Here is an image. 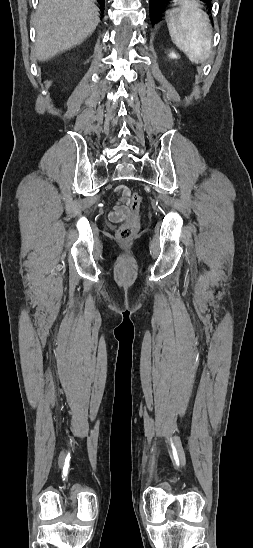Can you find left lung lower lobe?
Masks as SVG:
<instances>
[{
    "label": "left lung lower lobe",
    "mask_w": 253,
    "mask_h": 548,
    "mask_svg": "<svg viewBox=\"0 0 253 548\" xmlns=\"http://www.w3.org/2000/svg\"><path fill=\"white\" fill-rule=\"evenodd\" d=\"M171 0H150V15L151 19L154 22L158 14L163 10L164 5ZM203 1L209 9H211V0H201Z\"/></svg>",
    "instance_id": "left-lung-lower-lobe-1"
}]
</instances>
